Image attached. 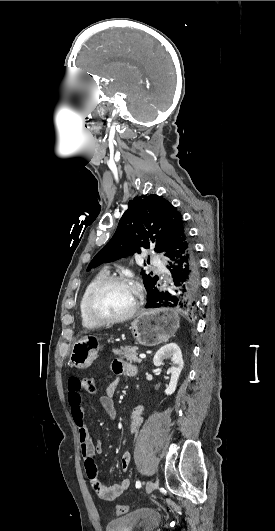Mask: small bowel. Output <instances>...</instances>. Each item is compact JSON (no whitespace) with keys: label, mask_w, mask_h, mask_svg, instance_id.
<instances>
[{"label":"small bowel","mask_w":275,"mask_h":531,"mask_svg":"<svg viewBox=\"0 0 275 531\" xmlns=\"http://www.w3.org/2000/svg\"><path fill=\"white\" fill-rule=\"evenodd\" d=\"M112 370L117 375V379L111 382L99 399L100 405L107 412V414L115 419L117 411L113 403V396L121 383L122 376H134L137 372L136 367L120 358H116L112 362ZM68 382L65 385V392L70 405V413L73 423L78 429L79 447L82 457L85 460V471L91 486L96 495L105 501H112L122 495L130 486L129 478H122L118 483L114 485L104 484L98 475V470L95 464V457L103 450L102 442L92 440L89 435L88 429L85 424V412L82 405L81 397L79 393L81 391V375L79 373H70L68 375ZM144 408L139 406L133 413L131 422V432L136 433L143 421ZM131 452L125 451L120 458V466L124 471L129 470L131 465Z\"/></svg>","instance_id":"obj_1"}]
</instances>
